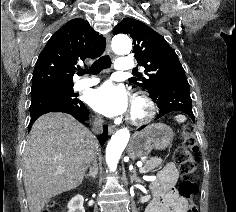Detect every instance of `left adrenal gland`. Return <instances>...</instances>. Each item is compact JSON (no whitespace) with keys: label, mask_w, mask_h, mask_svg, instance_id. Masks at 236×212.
<instances>
[{"label":"left adrenal gland","mask_w":236,"mask_h":212,"mask_svg":"<svg viewBox=\"0 0 236 212\" xmlns=\"http://www.w3.org/2000/svg\"><path fill=\"white\" fill-rule=\"evenodd\" d=\"M130 179H131V183H133V181L141 182L140 178L137 177L136 170L133 171V174L131 175Z\"/></svg>","instance_id":"a2214340"}]
</instances>
